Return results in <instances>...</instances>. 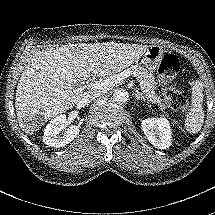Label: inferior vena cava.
Listing matches in <instances>:
<instances>
[{"label": "inferior vena cava", "instance_id": "obj_1", "mask_svg": "<svg viewBox=\"0 0 215 215\" xmlns=\"http://www.w3.org/2000/svg\"><path fill=\"white\" fill-rule=\"evenodd\" d=\"M105 90H97V91H87L84 92L82 95V98L80 100V103L83 105H87L92 99L99 97L102 93H104Z\"/></svg>", "mask_w": 215, "mask_h": 215}]
</instances>
